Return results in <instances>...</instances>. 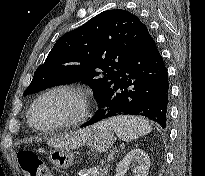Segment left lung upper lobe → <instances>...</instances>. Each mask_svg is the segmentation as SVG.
<instances>
[{"instance_id": "left-lung-upper-lobe-1", "label": "left lung upper lobe", "mask_w": 205, "mask_h": 176, "mask_svg": "<svg viewBox=\"0 0 205 176\" xmlns=\"http://www.w3.org/2000/svg\"><path fill=\"white\" fill-rule=\"evenodd\" d=\"M145 30L140 19L126 10L98 14L57 40L24 95L81 81L91 87L99 102Z\"/></svg>"}]
</instances>
